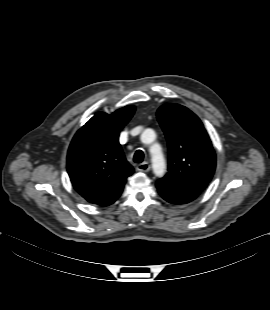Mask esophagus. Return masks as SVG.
Instances as JSON below:
<instances>
[{"label": "esophagus", "mask_w": 270, "mask_h": 310, "mask_svg": "<svg viewBox=\"0 0 270 310\" xmlns=\"http://www.w3.org/2000/svg\"><path fill=\"white\" fill-rule=\"evenodd\" d=\"M137 170L140 172H148L150 170V164L148 162H143L137 165Z\"/></svg>", "instance_id": "obj_1"}]
</instances>
